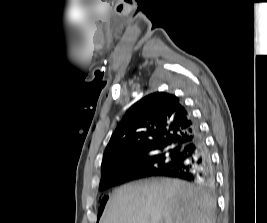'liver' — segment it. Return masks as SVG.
Segmentation results:
<instances>
[{
	"label": "liver",
	"instance_id": "6515ba94",
	"mask_svg": "<svg viewBox=\"0 0 267 223\" xmlns=\"http://www.w3.org/2000/svg\"><path fill=\"white\" fill-rule=\"evenodd\" d=\"M215 200L187 182L152 178L117 189L102 223H215Z\"/></svg>",
	"mask_w": 267,
	"mask_h": 223
}]
</instances>
